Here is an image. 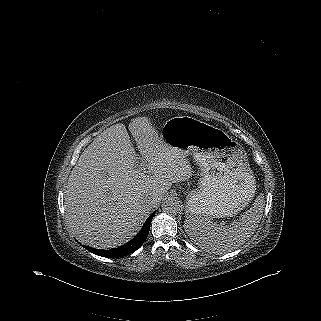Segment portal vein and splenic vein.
Here are the masks:
<instances>
[{
    "instance_id": "obj_1",
    "label": "portal vein and splenic vein",
    "mask_w": 321,
    "mask_h": 321,
    "mask_svg": "<svg viewBox=\"0 0 321 321\" xmlns=\"http://www.w3.org/2000/svg\"><path fill=\"white\" fill-rule=\"evenodd\" d=\"M140 170L145 171V164H144V162H141V163H140Z\"/></svg>"
}]
</instances>
